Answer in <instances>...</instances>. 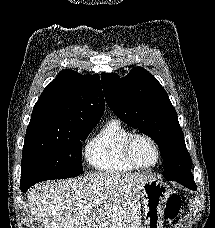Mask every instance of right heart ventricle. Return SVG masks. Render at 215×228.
Returning <instances> with one entry per match:
<instances>
[{"label": "right heart ventricle", "instance_id": "obj_1", "mask_svg": "<svg viewBox=\"0 0 215 228\" xmlns=\"http://www.w3.org/2000/svg\"><path fill=\"white\" fill-rule=\"evenodd\" d=\"M134 133L120 119L111 118L85 146V159L92 169L107 174H125L134 171L123 155L125 140Z\"/></svg>", "mask_w": 215, "mask_h": 228}]
</instances>
